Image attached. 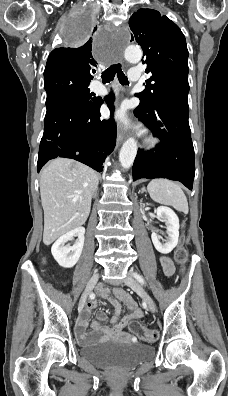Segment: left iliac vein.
Segmentation results:
<instances>
[{
    "label": "left iliac vein",
    "instance_id": "4c4485c4",
    "mask_svg": "<svg viewBox=\"0 0 228 396\" xmlns=\"http://www.w3.org/2000/svg\"><path fill=\"white\" fill-rule=\"evenodd\" d=\"M124 283L133 289L148 306V309L152 312H156V305L152 297L147 293V291L132 277H128L125 279Z\"/></svg>",
    "mask_w": 228,
    "mask_h": 396
}]
</instances>
